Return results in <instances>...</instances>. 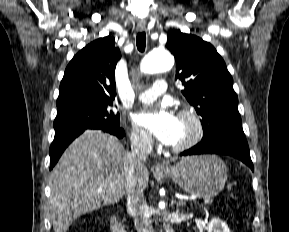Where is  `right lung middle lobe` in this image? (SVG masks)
<instances>
[{"label": "right lung middle lobe", "instance_id": "right-lung-middle-lobe-1", "mask_svg": "<svg viewBox=\"0 0 289 232\" xmlns=\"http://www.w3.org/2000/svg\"><path fill=\"white\" fill-rule=\"evenodd\" d=\"M113 103L103 101L73 102L57 108L55 133L74 128L100 129L119 127V113Z\"/></svg>", "mask_w": 289, "mask_h": 232}]
</instances>
